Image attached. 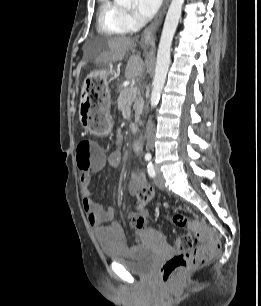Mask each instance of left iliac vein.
Listing matches in <instances>:
<instances>
[{"mask_svg":"<svg viewBox=\"0 0 261 306\" xmlns=\"http://www.w3.org/2000/svg\"><path fill=\"white\" fill-rule=\"evenodd\" d=\"M156 186L160 189L164 188V177L160 172H156V177L154 179Z\"/></svg>","mask_w":261,"mask_h":306,"instance_id":"1","label":"left iliac vein"}]
</instances>
